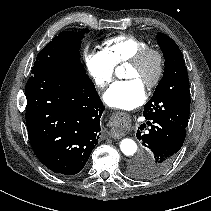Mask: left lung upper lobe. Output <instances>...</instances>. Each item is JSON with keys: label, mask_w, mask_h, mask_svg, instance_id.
I'll use <instances>...</instances> for the list:
<instances>
[{"label": "left lung upper lobe", "mask_w": 211, "mask_h": 211, "mask_svg": "<svg viewBox=\"0 0 211 211\" xmlns=\"http://www.w3.org/2000/svg\"><path fill=\"white\" fill-rule=\"evenodd\" d=\"M163 52L165 68L152 98L144 106L146 119L164 118L187 127L190 112V92L187 67L178 45L167 35L157 34ZM131 173L138 176L135 169Z\"/></svg>", "instance_id": "1"}]
</instances>
